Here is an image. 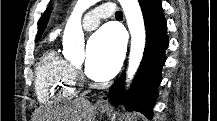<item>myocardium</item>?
I'll return each mask as SVG.
<instances>
[{
    "instance_id": "1",
    "label": "myocardium",
    "mask_w": 217,
    "mask_h": 121,
    "mask_svg": "<svg viewBox=\"0 0 217 121\" xmlns=\"http://www.w3.org/2000/svg\"><path fill=\"white\" fill-rule=\"evenodd\" d=\"M74 72H75V77H77V78L80 79L81 81H85V75H84V73H83L81 67L75 66Z\"/></svg>"
}]
</instances>
